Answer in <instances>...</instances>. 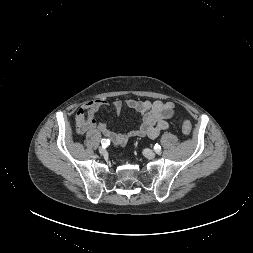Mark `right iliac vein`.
I'll return each instance as SVG.
<instances>
[{
	"instance_id": "63e3f726",
	"label": "right iliac vein",
	"mask_w": 253,
	"mask_h": 253,
	"mask_svg": "<svg viewBox=\"0 0 253 253\" xmlns=\"http://www.w3.org/2000/svg\"><path fill=\"white\" fill-rule=\"evenodd\" d=\"M99 152H100L101 155H106V154H107L106 149L103 148V147H100V148H99Z\"/></svg>"
}]
</instances>
